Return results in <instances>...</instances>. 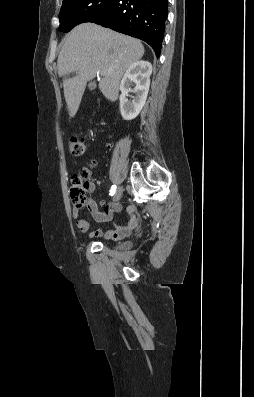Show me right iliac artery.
Masks as SVG:
<instances>
[{"label": "right iliac artery", "mask_w": 254, "mask_h": 397, "mask_svg": "<svg viewBox=\"0 0 254 397\" xmlns=\"http://www.w3.org/2000/svg\"><path fill=\"white\" fill-rule=\"evenodd\" d=\"M116 191V185H112L111 190H110V195H114Z\"/></svg>", "instance_id": "1"}]
</instances>
